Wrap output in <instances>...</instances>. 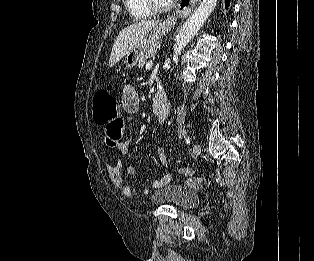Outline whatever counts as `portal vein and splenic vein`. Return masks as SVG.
Listing matches in <instances>:
<instances>
[{"label": "portal vein and splenic vein", "instance_id": "portal-vein-and-splenic-vein-1", "mask_svg": "<svg viewBox=\"0 0 314 261\" xmlns=\"http://www.w3.org/2000/svg\"><path fill=\"white\" fill-rule=\"evenodd\" d=\"M152 65H153L152 62H148V63L146 64L145 68H146L147 70H149V69L152 68Z\"/></svg>", "mask_w": 314, "mask_h": 261}]
</instances>
